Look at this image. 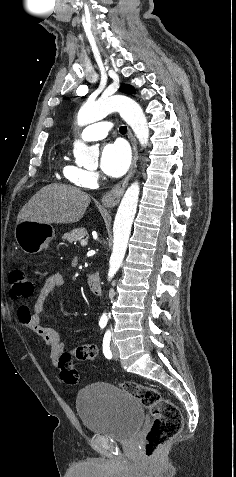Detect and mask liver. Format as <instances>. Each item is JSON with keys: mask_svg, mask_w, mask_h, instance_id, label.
Listing matches in <instances>:
<instances>
[{"mask_svg": "<svg viewBox=\"0 0 236 477\" xmlns=\"http://www.w3.org/2000/svg\"><path fill=\"white\" fill-rule=\"evenodd\" d=\"M87 193L78 188L50 184L41 188L26 203L17 217L22 220L48 224H69L80 221L90 204Z\"/></svg>", "mask_w": 236, "mask_h": 477, "instance_id": "6515ba94", "label": "liver"}]
</instances>
